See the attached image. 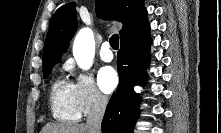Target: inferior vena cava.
<instances>
[{"instance_id":"602c4592","label":"inferior vena cava","mask_w":221,"mask_h":133,"mask_svg":"<svg viewBox=\"0 0 221 133\" xmlns=\"http://www.w3.org/2000/svg\"><path fill=\"white\" fill-rule=\"evenodd\" d=\"M107 105V99L100 94H95L91 109L87 116L86 126L89 133H101V122Z\"/></svg>"}]
</instances>
